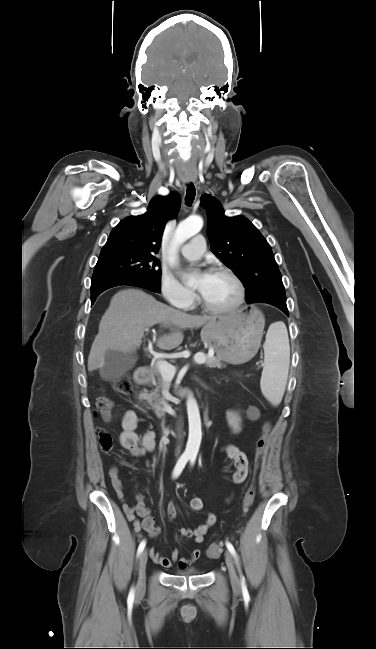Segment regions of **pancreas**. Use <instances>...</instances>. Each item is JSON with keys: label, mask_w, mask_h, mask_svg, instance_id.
Returning <instances> with one entry per match:
<instances>
[{"label": "pancreas", "mask_w": 376, "mask_h": 649, "mask_svg": "<svg viewBox=\"0 0 376 649\" xmlns=\"http://www.w3.org/2000/svg\"><path fill=\"white\" fill-rule=\"evenodd\" d=\"M205 364L210 368H222L223 364L219 358L206 356ZM150 379L155 384L156 388L150 393L142 394V398L150 405L151 409L155 411H161L163 401L160 398L161 389L165 387V380L161 376L157 365H151L150 368Z\"/></svg>", "instance_id": "cf45deb5"}]
</instances>
